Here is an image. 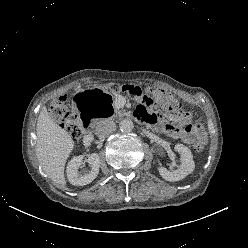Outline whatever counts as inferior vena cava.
Returning <instances> with one entry per match:
<instances>
[{
  "mask_svg": "<svg viewBox=\"0 0 248 248\" xmlns=\"http://www.w3.org/2000/svg\"><path fill=\"white\" fill-rule=\"evenodd\" d=\"M115 129H116L115 122L111 120H106L98 126L96 130V134L99 137H107L110 134H112L115 131Z\"/></svg>",
  "mask_w": 248,
  "mask_h": 248,
  "instance_id": "obj_1",
  "label": "inferior vena cava"
}]
</instances>
